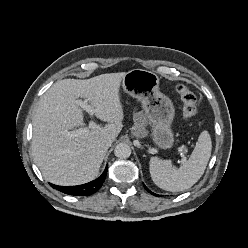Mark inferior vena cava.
Returning <instances> with one entry per match:
<instances>
[{
  "label": "inferior vena cava",
  "mask_w": 248,
  "mask_h": 248,
  "mask_svg": "<svg viewBox=\"0 0 248 248\" xmlns=\"http://www.w3.org/2000/svg\"><path fill=\"white\" fill-rule=\"evenodd\" d=\"M112 142L113 141L110 138H105L99 141V145L104 149H108L111 146Z\"/></svg>",
  "instance_id": "obj_1"
}]
</instances>
